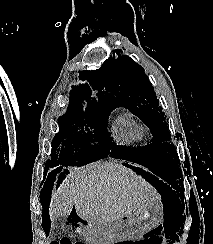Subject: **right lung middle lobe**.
I'll use <instances>...</instances> for the list:
<instances>
[{"label": "right lung middle lobe", "instance_id": "dd1d6c3e", "mask_svg": "<svg viewBox=\"0 0 213 244\" xmlns=\"http://www.w3.org/2000/svg\"><path fill=\"white\" fill-rule=\"evenodd\" d=\"M109 114L83 108L67 109L58 118L59 132L52 141V159L48 160L46 168L82 166L108 155L115 157L113 154L121 148L110 152L112 145L106 142Z\"/></svg>", "mask_w": 213, "mask_h": 244}]
</instances>
